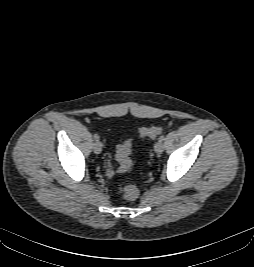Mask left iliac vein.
Instances as JSON below:
<instances>
[{
  "label": "left iliac vein",
  "instance_id": "left-iliac-vein-1",
  "mask_svg": "<svg viewBox=\"0 0 254 267\" xmlns=\"http://www.w3.org/2000/svg\"><path fill=\"white\" fill-rule=\"evenodd\" d=\"M164 145L162 141H157L154 145V150L157 154H161L163 152Z\"/></svg>",
  "mask_w": 254,
  "mask_h": 267
}]
</instances>
